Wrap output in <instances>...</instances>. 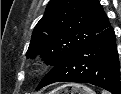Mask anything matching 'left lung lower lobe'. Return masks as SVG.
<instances>
[{"mask_svg": "<svg viewBox=\"0 0 121 94\" xmlns=\"http://www.w3.org/2000/svg\"><path fill=\"white\" fill-rule=\"evenodd\" d=\"M55 82L90 83L112 94H121L114 29L109 26L77 47L55 65L36 90Z\"/></svg>", "mask_w": 121, "mask_h": 94, "instance_id": "left-lung-lower-lobe-1", "label": "left lung lower lobe"}]
</instances>
